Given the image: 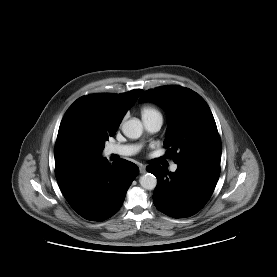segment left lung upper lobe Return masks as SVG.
<instances>
[{
  "label": "left lung upper lobe",
  "instance_id": "5c2ea615",
  "mask_svg": "<svg viewBox=\"0 0 277 277\" xmlns=\"http://www.w3.org/2000/svg\"><path fill=\"white\" fill-rule=\"evenodd\" d=\"M140 102L153 101L169 116L164 146L166 156L176 164L202 157H221V140L211 110L204 99L191 89L163 86L147 90Z\"/></svg>",
  "mask_w": 277,
  "mask_h": 277
}]
</instances>
